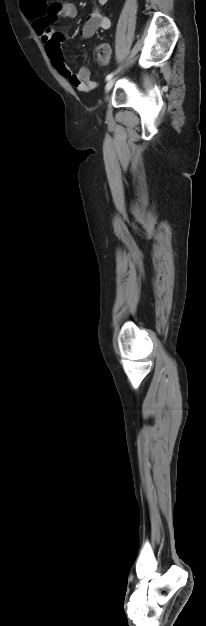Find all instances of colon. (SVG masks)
Listing matches in <instances>:
<instances>
[{"label":"colon","mask_w":206,"mask_h":626,"mask_svg":"<svg viewBox=\"0 0 206 626\" xmlns=\"http://www.w3.org/2000/svg\"><path fill=\"white\" fill-rule=\"evenodd\" d=\"M110 54V47L107 44L103 43L98 45V47L96 48L95 57L99 63H106L110 58Z\"/></svg>","instance_id":"5ec220e1"}]
</instances>
